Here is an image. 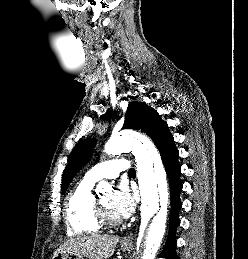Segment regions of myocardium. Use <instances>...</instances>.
Returning a JSON list of instances; mask_svg holds the SVG:
<instances>
[{
	"instance_id": "obj_1",
	"label": "myocardium",
	"mask_w": 248,
	"mask_h": 259,
	"mask_svg": "<svg viewBox=\"0 0 248 259\" xmlns=\"http://www.w3.org/2000/svg\"><path fill=\"white\" fill-rule=\"evenodd\" d=\"M95 215L102 226H117L121 222L119 218L112 217L108 213L107 209L97 197H95Z\"/></svg>"
}]
</instances>
